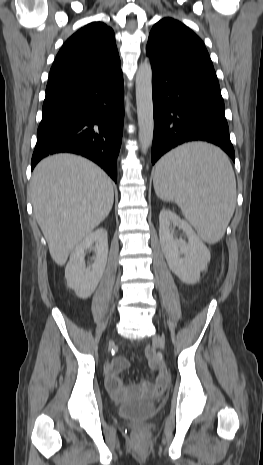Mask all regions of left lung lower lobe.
<instances>
[{
	"label": "left lung lower lobe",
	"mask_w": 263,
	"mask_h": 465,
	"mask_svg": "<svg viewBox=\"0 0 263 465\" xmlns=\"http://www.w3.org/2000/svg\"><path fill=\"white\" fill-rule=\"evenodd\" d=\"M146 54L153 71L152 164L172 148L196 140L219 146L235 161L214 69L173 63L152 53Z\"/></svg>",
	"instance_id": "left-lung-lower-lobe-1"
}]
</instances>
